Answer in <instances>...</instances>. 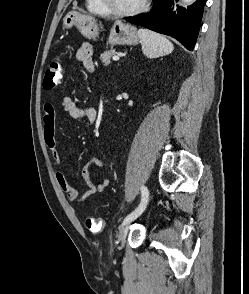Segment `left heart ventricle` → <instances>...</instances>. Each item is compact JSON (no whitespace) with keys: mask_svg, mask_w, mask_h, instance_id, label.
Masks as SVG:
<instances>
[{"mask_svg":"<svg viewBox=\"0 0 249 294\" xmlns=\"http://www.w3.org/2000/svg\"><path fill=\"white\" fill-rule=\"evenodd\" d=\"M115 10L126 11L138 6L142 0H107Z\"/></svg>","mask_w":249,"mask_h":294,"instance_id":"b2bd125f","label":"left heart ventricle"}]
</instances>
